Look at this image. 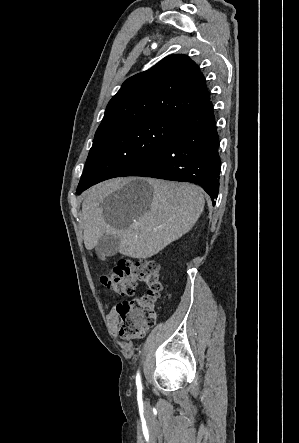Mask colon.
I'll list each match as a JSON object with an SVG mask.
<instances>
[{
  "label": "colon",
  "mask_w": 299,
  "mask_h": 443,
  "mask_svg": "<svg viewBox=\"0 0 299 443\" xmlns=\"http://www.w3.org/2000/svg\"><path fill=\"white\" fill-rule=\"evenodd\" d=\"M101 281L118 295H133L139 282L148 286L145 295L116 306L120 338L127 342L143 337L158 317L154 303L162 290L159 264L153 260H121L102 275Z\"/></svg>",
  "instance_id": "5ec220e1"
}]
</instances>
